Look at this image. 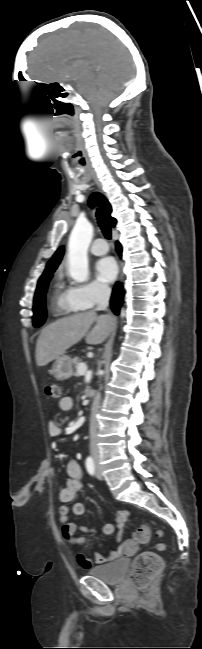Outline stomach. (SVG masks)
<instances>
[{"instance_id":"stomach-1","label":"stomach","mask_w":202,"mask_h":649,"mask_svg":"<svg viewBox=\"0 0 202 649\" xmlns=\"http://www.w3.org/2000/svg\"><path fill=\"white\" fill-rule=\"evenodd\" d=\"M73 364L74 361L70 356L63 355L55 360L50 372L56 380H67L74 374Z\"/></svg>"}]
</instances>
